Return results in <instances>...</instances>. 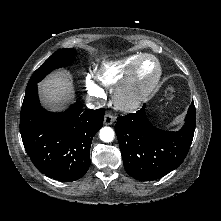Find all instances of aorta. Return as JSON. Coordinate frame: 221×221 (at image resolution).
<instances>
[{
	"mask_svg": "<svg viewBox=\"0 0 221 221\" xmlns=\"http://www.w3.org/2000/svg\"><path fill=\"white\" fill-rule=\"evenodd\" d=\"M100 139L106 143L113 141L114 131L111 127H103L99 132Z\"/></svg>",
	"mask_w": 221,
	"mask_h": 221,
	"instance_id": "762f6f07",
	"label": "aorta"
}]
</instances>
